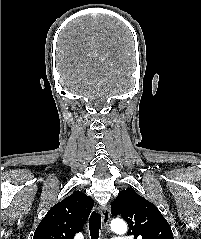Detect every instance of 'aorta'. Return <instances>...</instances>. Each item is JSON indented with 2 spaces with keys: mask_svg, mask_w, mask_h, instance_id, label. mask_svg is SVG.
Instances as JSON below:
<instances>
[{
  "mask_svg": "<svg viewBox=\"0 0 201 239\" xmlns=\"http://www.w3.org/2000/svg\"><path fill=\"white\" fill-rule=\"evenodd\" d=\"M110 228L117 234H125L127 232V224L120 218L113 219L111 221Z\"/></svg>",
  "mask_w": 201,
  "mask_h": 239,
  "instance_id": "1",
  "label": "aorta"
}]
</instances>
